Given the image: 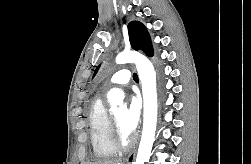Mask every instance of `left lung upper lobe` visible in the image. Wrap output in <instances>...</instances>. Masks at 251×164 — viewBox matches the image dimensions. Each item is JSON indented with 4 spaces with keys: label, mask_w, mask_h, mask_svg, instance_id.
Returning <instances> with one entry per match:
<instances>
[{
    "label": "left lung upper lobe",
    "mask_w": 251,
    "mask_h": 164,
    "mask_svg": "<svg viewBox=\"0 0 251 164\" xmlns=\"http://www.w3.org/2000/svg\"><path fill=\"white\" fill-rule=\"evenodd\" d=\"M128 35L131 47L134 50L144 51L149 57L153 56L151 39L142 23L137 21L130 22L128 24ZM98 68L95 70L94 75L97 73Z\"/></svg>",
    "instance_id": "5c2ea615"
}]
</instances>
